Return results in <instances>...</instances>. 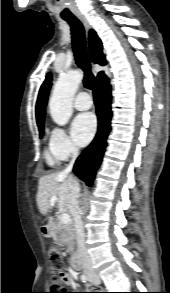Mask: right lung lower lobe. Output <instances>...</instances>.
Returning <instances> with one entry per match:
<instances>
[{"instance_id": "right-lung-lower-lobe-1", "label": "right lung lower lobe", "mask_w": 170, "mask_h": 293, "mask_svg": "<svg viewBox=\"0 0 170 293\" xmlns=\"http://www.w3.org/2000/svg\"><path fill=\"white\" fill-rule=\"evenodd\" d=\"M94 102L97 108L99 129L94 141L78 157L73 168V172L88 186L92 185L95 171L101 163L110 131L111 86L105 75L96 80Z\"/></svg>"}]
</instances>
